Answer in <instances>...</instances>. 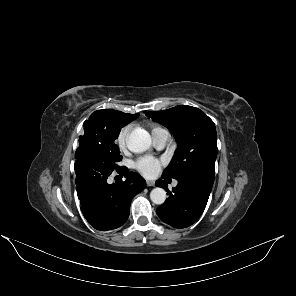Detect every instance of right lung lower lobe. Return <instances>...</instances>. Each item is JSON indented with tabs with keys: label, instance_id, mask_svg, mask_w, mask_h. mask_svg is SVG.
<instances>
[{
	"label": "right lung lower lobe",
	"instance_id": "right-lung-lower-lobe-1",
	"mask_svg": "<svg viewBox=\"0 0 296 296\" xmlns=\"http://www.w3.org/2000/svg\"><path fill=\"white\" fill-rule=\"evenodd\" d=\"M76 189L81 210L95 229L108 231L122 226L129 217L132 198L146 186V181L126 167L110 170L97 156L77 149L75 154ZM125 181L108 184L112 172Z\"/></svg>",
	"mask_w": 296,
	"mask_h": 296
}]
</instances>
